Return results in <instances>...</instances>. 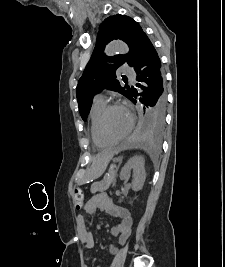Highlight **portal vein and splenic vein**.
Wrapping results in <instances>:
<instances>
[{
    "label": "portal vein and splenic vein",
    "instance_id": "18ae733b",
    "mask_svg": "<svg viewBox=\"0 0 225 267\" xmlns=\"http://www.w3.org/2000/svg\"><path fill=\"white\" fill-rule=\"evenodd\" d=\"M114 167H115L114 165L111 166V168H114Z\"/></svg>",
    "mask_w": 225,
    "mask_h": 267
}]
</instances>
